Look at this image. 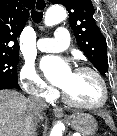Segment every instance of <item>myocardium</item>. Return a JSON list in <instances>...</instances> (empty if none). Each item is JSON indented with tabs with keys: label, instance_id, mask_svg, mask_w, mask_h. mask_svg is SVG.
<instances>
[{
	"label": "myocardium",
	"instance_id": "obj_1",
	"mask_svg": "<svg viewBox=\"0 0 117 136\" xmlns=\"http://www.w3.org/2000/svg\"><path fill=\"white\" fill-rule=\"evenodd\" d=\"M75 72H89L96 77L102 91L101 99L98 102L92 103V104L80 103V102L74 101L65 91H63L62 93L63 100L67 104L78 109L95 110V109H99L103 107L108 101L109 91H108L107 83L104 77L101 75V73L95 68H92L90 66H79L75 69Z\"/></svg>",
	"mask_w": 117,
	"mask_h": 136
}]
</instances>
